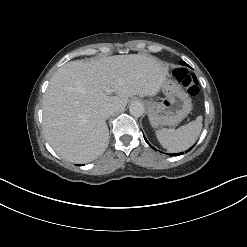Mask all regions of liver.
<instances>
[{"mask_svg": "<svg viewBox=\"0 0 247 247\" xmlns=\"http://www.w3.org/2000/svg\"><path fill=\"white\" fill-rule=\"evenodd\" d=\"M169 76L168 68L143 54L71 61L59 68L43 98V129L50 146L64 159L86 163L108 146L101 112L123 110L128 97L153 96ZM109 88L111 96L105 93Z\"/></svg>", "mask_w": 247, "mask_h": 247, "instance_id": "obj_1", "label": "liver"}]
</instances>
